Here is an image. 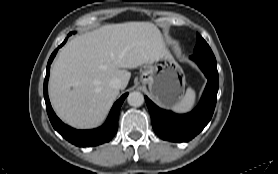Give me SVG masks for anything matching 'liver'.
Wrapping results in <instances>:
<instances>
[{"label":"liver","mask_w":278,"mask_h":174,"mask_svg":"<svg viewBox=\"0 0 278 174\" xmlns=\"http://www.w3.org/2000/svg\"><path fill=\"white\" fill-rule=\"evenodd\" d=\"M168 54L157 26L151 22L104 25L76 36L59 52L51 68L49 97L61 120L77 129L99 126L134 69Z\"/></svg>","instance_id":"1"}]
</instances>
